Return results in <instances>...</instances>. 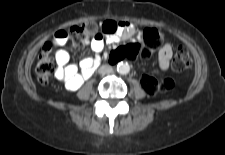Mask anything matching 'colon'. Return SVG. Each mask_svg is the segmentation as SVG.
I'll use <instances>...</instances> for the list:
<instances>
[{"mask_svg": "<svg viewBox=\"0 0 225 155\" xmlns=\"http://www.w3.org/2000/svg\"><path fill=\"white\" fill-rule=\"evenodd\" d=\"M71 34V43L75 49L81 50L87 46L90 39L98 34V27L95 23H82L66 29ZM165 40V34L155 28H146L142 33V41L129 43L112 52L109 62L117 67L122 60L130 62L137 58L148 59L154 50ZM51 44L46 43L37 59L35 73L37 80L42 85H47L54 72V61L51 56ZM191 65V58L183 46H178L172 61V68L175 71H184ZM142 85L145 92L154 96L157 93H166L174 88L171 79L157 80L151 76L144 75Z\"/></svg>", "mask_w": 225, "mask_h": 155, "instance_id": "colon-1", "label": "colon"}]
</instances>
